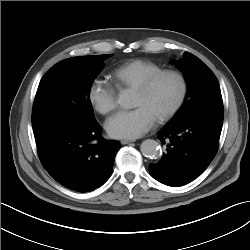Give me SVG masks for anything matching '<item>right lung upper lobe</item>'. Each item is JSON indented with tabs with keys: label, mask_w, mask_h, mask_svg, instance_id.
<instances>
[{
	"label": "right lung upper lobe",
	"mask_w": 250,
	"mask_h": 250,
	"mask_svg": "<svg viewBox=\"0 0 250 250\" xmlns=\"http://www.w3.org/2000/svg\"><path fill=\"white\" fill-rule=\"evenodd\" d=\"M81 57H84V56H81ZM73 58H80V57H73Z\"/></svg>",
	"instance_id": "1"
}]
</instances>
